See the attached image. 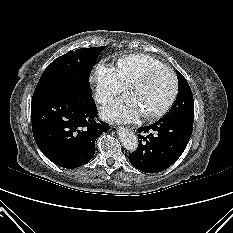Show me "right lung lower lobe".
Wrapping results in <instances>:
<instances>
[{
    "mask_svg": "<svg viewBox=\"0 0 233 233\" xmlns=\"http://www.w3.org/2000/svg\"><path fill=\"white\" fill-rule=\"evenodd\" d=\"M32 131L42 153L63 168H76L89 162L95 153V140L109 130L98 121L90 87H69L32 98Z\"/></svg>",
    "mask_w": 233,
    "mask_h": 233,
    "instance_id": "obj_1",
    "label": "right lung lower lobe"
}]
</instances>
